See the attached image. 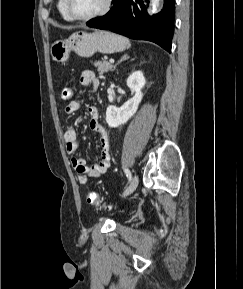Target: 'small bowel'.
<instances>
[{
	"label": "small bowel",
	"mask_w": 243,
	"mask_h": 289,
	"mask_svg": "<svg viewBox=\"0 0 243 289\" xmlns=\"http://www.w3.org/2000/svg\"><path fill=\"white\" fill-rule=\"evenodd\" d=\"M80 83L91 91H96L99 85L98 79L92 71L86 70L81 74ZM82 104L81 100H73L65 107L67 115L75 114ZM90 116L89 126L92 131L99 135L101 145V159L92 165H88L84 158L73 157L71 165L77 172V180L81 185L89 182L90 178H99L102 176L110 166V144L107 132L102 124L99 122V112L95 106L88 108ZM64 141L66 152L73 155L78 150L77 132L74 127H69L64 133Z\"/></svg>",
	"instance_id": "obj_1"
}]
</instances>
